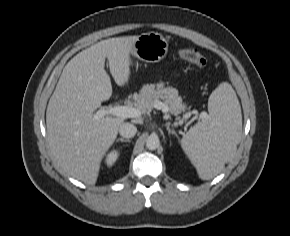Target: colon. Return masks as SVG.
<instances>
[{
  "label": "colon",
  "mask_w": 290,
  "mask_h": 236,
  "mask_svg": "<svg viewBox=\"0 0 290 236\" xmlns=\"http://www.w3.org/2000/svg\"><path fill=\"white\" fill-rule=\"evenodd\" d=\"M179 55L182 59L188 61L189 63L203 68L207 65V59L205 56L197 49L194 48H184L179 51Z\"/></svg>",
  "instance_id": "colon-1"
}]
</instances>
